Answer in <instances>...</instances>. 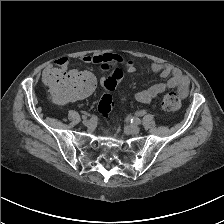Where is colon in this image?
Instances as JSON below:
<instances>
[{
	"label": "colon",
	"mask_w": 224,
	"mask_h": 224,
	"mask_svg": "<svg viewBox=\"0 0 224 224\" xmlns=\"http://www.w3.org/2000/svg\"><path fill=\"white\" fill-rule=\"evenodd\" d=\"M122 76V71L116 69L103 81L105 92L98 104V111L102 117L107 118L112 110V92L122 79ZM46 81L54 97L66 101H76L89 96L96 86L94 76L88 72L64 73L61 76L50 74ZM161 105L164 110L178 111L182 106V102L177 93L170 92L163 96Z\"/></svg>",
	"instance_id": "1"
}]
</instances>
